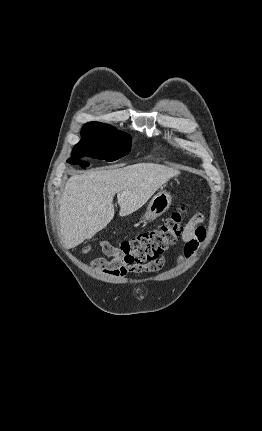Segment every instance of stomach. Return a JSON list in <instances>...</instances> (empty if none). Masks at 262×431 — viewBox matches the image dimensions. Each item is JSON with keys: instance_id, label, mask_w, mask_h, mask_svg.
Returning a JSON list of instances; mask_svg holds the SVG:
<instances>
[{"instance_id": "1", "label": "stomach", "mask_w": 262, "mask_h": 431, "mask_svg": "<svg viewBox=\"0 0 262 431\" xmlns=\"http://www.w3.org/2000/svg\"><path fill=\"white\" fill-rule=\"evenodd\" d=\"M172 197L166 191L158 192L149 202L144 220H153L165 213L171 205Z\"/></svg>"}]
</instances>
